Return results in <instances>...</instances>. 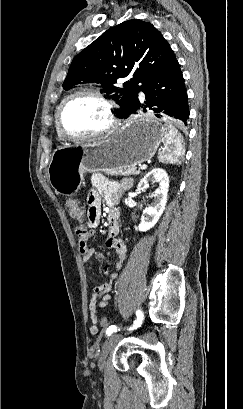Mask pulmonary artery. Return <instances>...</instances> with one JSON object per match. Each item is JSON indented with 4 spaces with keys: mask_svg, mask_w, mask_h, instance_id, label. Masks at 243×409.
<instances>
[{
    "mask_svg": "<svg viewBox=\"0 0 243 409\" xmlns=\"http://www.w3.org/2000/svg\"><path fill=\"white\" fill-rule=\"evenodd\" d=\"M140 96H141V97H144V93H143V92H140Z\"/></svg>",
    "mask_w": 243,
    "mask_h": 409,
    "instance_id": "e3ab8cb5",
    "label": "pulmonary artery"
}]
</instances>
